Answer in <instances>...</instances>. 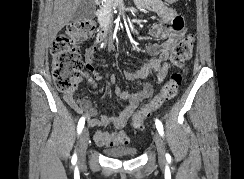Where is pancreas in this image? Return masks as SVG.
Instances as JSON below:
<instances>
[{
  "label": "pancreas",
  "instance_id": "1",
  "mask_svg": "<svg viewBox=\"0 0 244 179\" xmlns=\"http://www.w3.org/2000/svg\"><path fill=\"white\" fill-rule=\"evenodd\" d=\"M115 0H106L103 8H101L98 16L99 18H101V20H111L112 18V14H111V10L113 8V6H115L114 4Z\"/></svg>",
  "mask_w": 244,
  "mask_h": 179
}]
</instances>
